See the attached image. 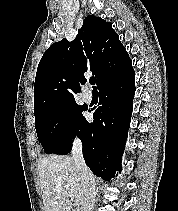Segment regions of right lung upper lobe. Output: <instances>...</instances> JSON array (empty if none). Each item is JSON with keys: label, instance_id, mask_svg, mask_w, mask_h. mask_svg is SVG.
<instances>
[{"label": "right lung upper lobe", "instance_id": "right-lung-upper-lobe-1", "mask_svg": "<svg viewBox=\"0 0 178 211\" xmlns=\"http://www.w3.org/2000/svg\"><path fill=\"white\" fill-rule=\"evenodd\" d=\"M131 67L112 24L87 16L74 41L55 42L43 54L34 83V114L50 105L73 101L80 83L86 82L87 71L95 75L99 87Z\"/></svg>", "mask_w": 178, "mask_h": 211}]
</instances>
